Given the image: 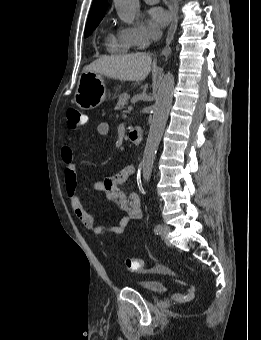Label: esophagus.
I'll return each mask as SVG.
<instances>
[{
    "label": "esophagus",
    "mask_w": 261,
    "mask_h": 340,
    "mask_svg": "<svg viewBox=\"0 0 261 340\" xmlns=\"http://www.w3.org/2000/svg\"><path fill=\"white\" fill-rule=\"evenodd\" d=\"M170 14H171V24L170 27L168 29V33H167V38H166V46L164 48V53H168L169 52V45L171 43V41L173 40L175 31H176V27H177V18H176V14L174 12V9L172 7H170Z\"/></svg>",
    "instance_id": "1"
}]
</instances>
